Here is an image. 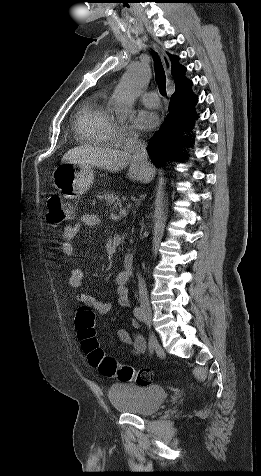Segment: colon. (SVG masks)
Segmentation results:
<instances>
[{
	"label": "colon",
	"mask_w": 261,
	"mask_h": 476,
	"mask_svg": "<svg viewBox=\"0 0 261 476\" xmlns=\"http://www.w3.org/2000/svg\"><path fill=\"white\" fill-rule=\"evenodd\" d=\"M46 217L50 225L61 226L73 217L72 207L59 195H51L46 202ZM95 311L87 305L79 307L75 324L82 347L87 354L89 363L96 367L106 377H116L122 382H136L139 385H148L153 381V372L142 368L136 370L130 365L120 364L100 347L95 336Z\"/></svg>",
	"instance_id": "5ec220e1"
}]
</instances>
